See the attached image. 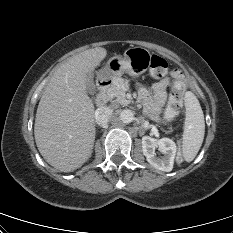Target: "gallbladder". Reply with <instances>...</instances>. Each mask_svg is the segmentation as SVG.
<instances>
[{
  "label": "gallbladder",
  "mask_w": 233,
  "mask_h": 233,
  "mask_svg": "<svg viewBox=\"0 0 233 233\" xmlns=\"http://www.w3.org/2000/svg\"><path fill=\"white\" fill-rule=\"evenodd\" d=\"M88 80L89 81L87 82V87H86L87 94L91 97V99H95L97 94V89L93 81L90 78H88Z\"/></svg>",
  "instance_id": "bac80fb5"
}]
</instances>
